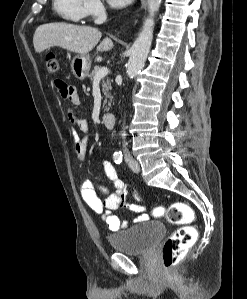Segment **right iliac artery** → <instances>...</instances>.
<instances>
[{"instance_id":"1","label":"right iliac artery","mask_w":247,"mask_h":299,"mask_svg":"<svg viewBox=\"0 0 247 299\" xmlns=\"http://www.w3.org/2000/svg\"><path fill=\"white\" fill-rule=\"evenodd\" d=\"M113 158H114L115 163L120 164L122 162V160H123V155H122L121 152L114 153Z\"/></svg>"}]
</instances>
